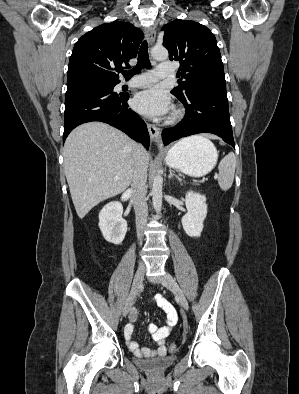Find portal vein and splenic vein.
I'll return each instance as SVG.
<instances>
[{"instance_id": "obj_1", "label": "portal vein and splenic vein", "mask_w": 299, "mask_h": 394, "mask_svg": "<svg viewBox=\"0 0 299 394\" xmlns=\"http://www.w3.org/2000/svg\"><path fill=\"white\" fill-rule=\"evenodd\" d=\"M217 177H218L217 175L214 176V178H217ZM115 179H118V177H115ZM195 182H200V183H202V182H204V180H199V181H195Z\"/></svg>"}]
</instances>
